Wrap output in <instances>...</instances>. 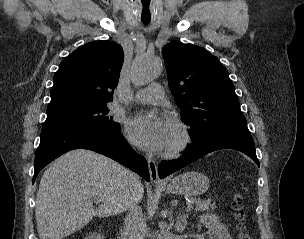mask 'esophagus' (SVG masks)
Returning <instances> with one entry per match:
<instances>
[{
  "mask_svg": "<svg viewBox=\"0 0 304 239\" xmlns=\"http://www.w3.org/2000/svg\"><path fill=\"white\" fill-rule=\"evenodd\" d=\"M148 169L150 174V180L153 184H161L162 180H160L158 176V168L156 162L152 158H147Z\"/></svg>",
  "mask_w": 304,
  "mask_h": 239,
  "instance_id": "esophagus-1",
  "label": "esophagus"
}]
</instances>
